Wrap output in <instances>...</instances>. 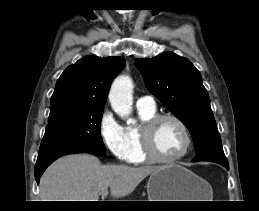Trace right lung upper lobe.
I'll return each instance as SVG.
<instances>
[{"mask_svg": "<svg viewBox=\"0 0 259 211\" xmlns=\"http://www.w3.org/2000/svg\"><path fill=\"white\" fill-rule=\"evenodd\" d=\"M124 65L121 57L97 56L70 65L56 83L49 118L78 108L104 109L110 85Z\"/></svg>", "mask_w": 259, "mask_h": 211, "instance_id": "right-lung-upper-lobe-1", "label": "right lung upper lobe"}]
</instances>
